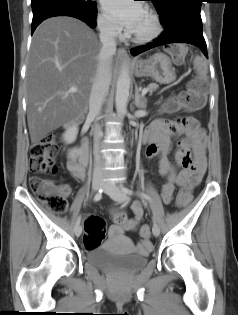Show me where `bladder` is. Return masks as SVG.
<instances>
[{
    "instance_id": "31cf9c89",
    "label": "bladder",
    "mask_w": 238,
    "mask_h": 315,
    "mask_svg": "<svg viewBox=\"0 0 238 315\" xmlns=\"http://www.w3.org/2000/svg\"><path fill=\"white\" fill-rule=\"evenodd\" d=\"M105 249L110 248H97V246L89 248L86 253V261L101 269L131 273L143 268L149 257V253L132 254V256H105Z\"/></svg>"
}]
</instances>
